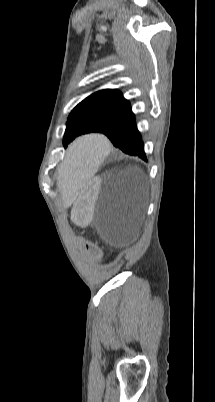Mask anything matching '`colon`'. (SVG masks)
I'll list each match as a JSON object with an SVG mask.
<instances>
[{
	"mask_svg": "<svg viewBox=\"0 0 215 402\" xmlns=\"http://www.w3.org/2000/svg\"><path fill=\"white\" fill-rule=\"evenodd\" d=\"M75 243L79 244V248L81 250H86V254L90 260H103L104 252L103 251H93L95 249L94 243H89L88 239H82L81 236H75L72 239Z\"/></svg>",
	"mask_w": 215,
	"mask_h": 402,
	"instance_id": "obj_1",
	"label": "colon"
}]
</instances>
